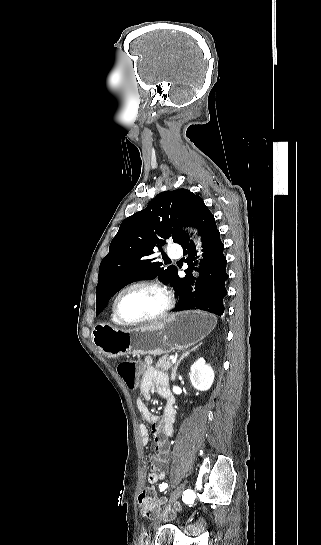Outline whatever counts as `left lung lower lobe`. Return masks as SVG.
I'll return each instance as SVG.
<instances>
[{"label":"left lung lower lobe","mask_w":321,"mask_h":545,"mask_svg":"<svg viewBox=\"0 0 321 545\" xmlns=\"http://www.w3.org/2000/svg\"><path fill=\"white\" fill-rule=\"evenodd\" d=\"M189 225L198 229L202 237L203 259L200 261V276L196 283V291L192 292L193 265L197 257L195 245L187 233L180 241L183 247L184 259L188 264L185 270L186 276L180 278L174 275L171 285H175L179 293V300L173 311L189 309H201L222 316L225 313L223 299L227 295L225 281L228 279L226 272V258L223 254L224 245L220 239L214 216L205 204L198 205Z\"/></svg>","instance_id":"left-lung-lower-lobe-1"}]
</instances>
